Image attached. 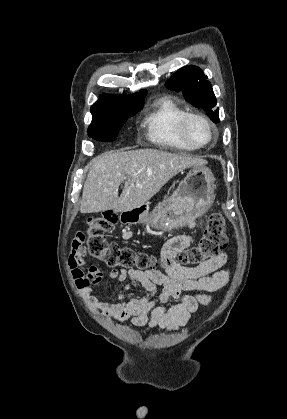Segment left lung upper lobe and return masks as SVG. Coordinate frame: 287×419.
Listing matches in <instances>:
<instances>
[{
	"label": "left lung upper lobe",
	"instance_id": "1",
	"mask_svg": "<svg viewBox=\"0 0 287 419\" xmlns=\"http://www.w3.org/2000/svg\"><path fill=\"white\" fill-rule=\"evenodd\" d=\"M203 71L193 65L179 69L166 83L170 90L183 93L186 100L197 108L207 112L213 122H219V109L214 110L217 104L211 83L207 81Z\"/></svg>",
	"mask_w": 287,
	"mask_h": 419
}]
</instances>
